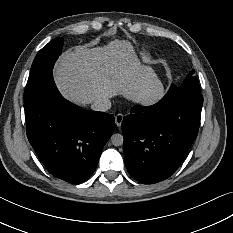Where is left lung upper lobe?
Returning <instances> with one entry per match:
<instances>
[{
  "mask_svg": "<svg viewBox=\"0 0 233 233\" xmlns=\"http://www.w3.org/2000/svg\"><path fill=\"white\" fill-rule=\"evenodd\" d=\"M194 72H195L194 70L190 71V73L187 75L182 85L180 86L172 85L170 87V90L201 94L199 82L197 77L194 76Z\"/></svg>",
  "mask_w": 233,
  "mask_h": 233,
  "instance_id": "obj_1",
  "label": "left lung upper lobe"
}]
</instances>
